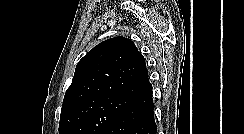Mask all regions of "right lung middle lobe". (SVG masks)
I'll list each match as a JSON object with an SVG mask.
<instances>
[{
	"label": "right lung middle lobe",
	"mask_w": 244,
	"mask_h": 134,
	"mask_svg": "<svg viewBox=\"0 0 244 134\" xmlns=\"http://www.w3.org/2000/svg\"><path fill=\"white\" fill-rule=\"evenodd\" d=\"M132 100L103 97L81 103L60 119L59 134H102Z\"/></svg>",
	"instance_id": "1"
}]
</instances>
